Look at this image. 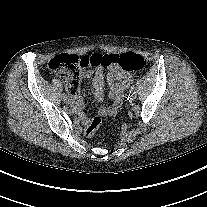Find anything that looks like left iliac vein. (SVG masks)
I'll use <instances>...</instances> for the list:
<instances>
[{
	"label": "left iliac vein",
	"mask_w": 207,
	"mask_h": 207,
	"mask_svg": "<svg viewBox=\"0 0 207 207\" xmlns=\"http://www.w3.org/2000/svg\"><path fill=\"white\" fill-rule=\"evenodd\" d=\"M136 97H137V93L135 92L134 94H131V95L129 96V99H130V100H134V99H136Z\"/></svg>",
	"instance_id": "obj_1"
}]
</instances>
